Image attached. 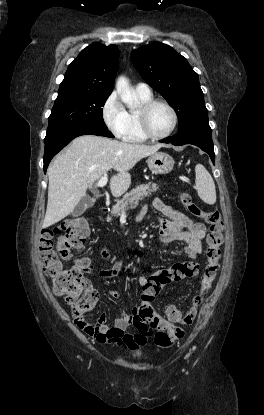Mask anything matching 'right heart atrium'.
<instances>
[{
    "label": "right heart atrium",
    "instance_id": "right-heart-atrium-1",
    "mask_svg": "<svg viewBox=\"0 0 264 415\" xmlns=\"http://www.w3.org/2000/svg\"><path fill=\"white\" fill-rule=\"evenodd\" d=\"M102 117L107 127L121 137L127 126V111L116 92H112L102 106Z\"/></svg>",
    "mask_w": 264,
    "mask_h": 415
}]
</instances>
